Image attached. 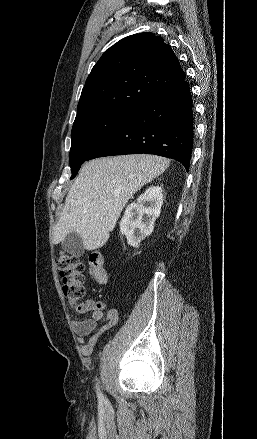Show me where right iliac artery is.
I'll list each match as a JSON object with an SVG mask.
<instances>
[{
  "mask_svg": "<svg viewBox=\"0 0 257 439\" xmlns=\"http://www.w3.org/2000/svg\"><path fill=\"white\" fill-rule=\"evenodd\" d=\"M97 389L99 390V388L97 387ZM98 398H99V400H104V396L102 395V393L101 392H98Z\"/></svg>",
  "mask_w": 257,
  "mask_h": 439,
  "instance_id": "obj_1",
  "label": "right iliac artery"
}]
</instances>
